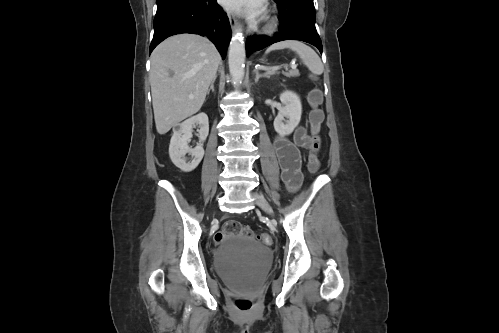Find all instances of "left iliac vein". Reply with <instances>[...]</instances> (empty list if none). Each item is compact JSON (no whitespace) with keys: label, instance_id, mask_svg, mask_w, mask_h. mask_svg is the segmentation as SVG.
Here are the masks:
<instances>
[{"label":"left iliac vein","instance_id":"obj_1","mask_svg":"<svg viewBox=\"0 0 499 333\" xmlns=\"http://www.w3.org/2000/svg\"><path fill=\"white\" fill-rule=\"evenodd\" d=\"M254 199H255V202L256 204L262 208L264 211H266L267 213H272V209L270 207V205L268 204L267 200L260 194L258 193H252Z\"/></svg>","mask_w":499,"mask_h":333}]
</instances>
